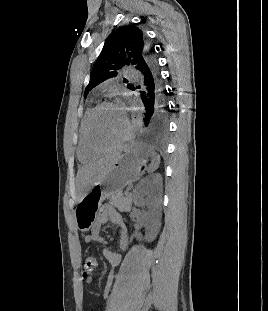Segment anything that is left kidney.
I'll use <instances>...</instances> for the list:
<instances>
[{"instance_id":"5707ae66","label":"left kidney","mask_w":268,"mask_h":311,"mask_svg":"<svg viewBox=\"0 0 268 311\" xmlns=\"http://www.w3.org/2000/svg\"><path fill=\"white\" fill-rule=\"evenodd\" d=\"M162 176L159 173L143 178L133 191V203L138 207H147L148 211L139 219L145 227L144 239L152 242L161 226Z\"/></svg>"}]
</instances>
